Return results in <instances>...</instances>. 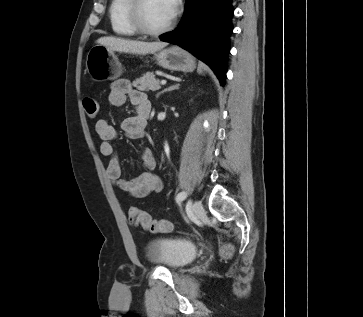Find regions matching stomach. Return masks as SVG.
Listing matches in <instances>:
<instances>
[{
    "instance_id": "0dacf381",
    "label": "stomach",
    "mask_w": 363,
    "mask_h": 317,
    "mask_svg": "<svg viewBox=\"0 0 363 317\" xmlns=\"http://www.w3.org/2000/svg\"><path fill=\"white\" fill-rule=\"evenodd\" d=\"M158 65L170 71L191 72L195 68L192 55L172 46L155 54ZM86 70L96 82L115 80L122 74V65L113 50L103 45L93 46L86 58Z\"/></svg>"
}]
</instances>
